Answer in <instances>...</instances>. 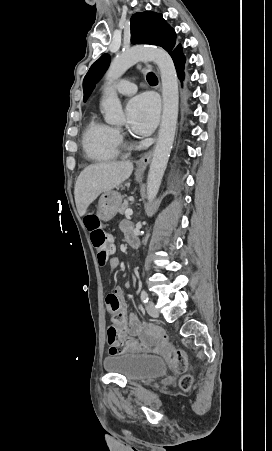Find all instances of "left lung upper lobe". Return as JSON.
<instances>
[{
    "mask_svg": "<svg viewBox=\"0 0 272 451\" xmlns=\"http://www.w3.org/2000/svg\"><path fill=\"white\" fill-rule=\"evenodd\" d=\"M130 25L131 43L133 44L160 46L169 54H171L176 47V33L174 29L166 23L160 13L151 11L135 13L130 19ZM109 63L110 56L104 54L90 67L83 81L84 101L90 96L95 84L106 71Z\"/></svg>",
    "mask_w": 272,
    "mask_h": 451,
    "instance_id": "1",
    "label": "left lung upper lobe"
}]
</instances>
